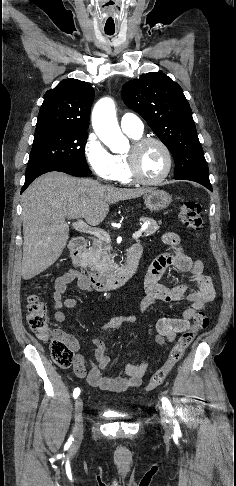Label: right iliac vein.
Segmentation results:
<instances>
[{
    "instance_id": "63e3f726",
    "label": "right iliac vein",
    "mask_w": 236,
    "mask_h": 486,
    "mask_svg": "<svg viewBox=\"0 0 236 486\" xmlns=\"http://www.w3.org/2000/svg\"><path fill=\"white\" fill-rule=\"evenodd\" d=\"M82 410H83V401L79 397L75 402V409H74L75 434L77 438H81L83 436Z\"/></svg>"
}]
</instances>
